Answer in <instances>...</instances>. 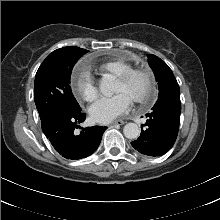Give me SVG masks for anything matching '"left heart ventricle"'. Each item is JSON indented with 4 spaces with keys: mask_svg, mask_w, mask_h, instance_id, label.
Segmentation results:
<instances>
[{
    "mask_svg": "<svg viewBox=\"0 0 220 220\" xmlns=\"http://www.w3.org/2000/svg\"><path fill=\"white\" fill-rule=\"evenodd\" d=\"M145 88L146 83L145 79L142 76H137L128 83H123L121 81H118L116 83L117 93H127L134 100L143 94Z\"/></svg>",
    "mask_w": 220,
    "mask_h": 220,
    "instance_id": "left-heart-ventricle-1",
    "label": "left heart ventricle"
}]
</instances>
